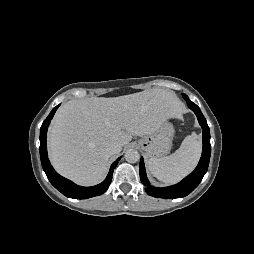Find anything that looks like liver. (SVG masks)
<instances>
[{
    "label": "liver",
    "mask_w": 254,
    "mask_h": 254,
    "mask_svg": "<svg viewBox=\"0 0 254 254\" xmlns=\"http://www.w3.org/2000/svg\"><path fill=\"white\" fill-rule=\"evenodd\" d=\"M182 104L172 91L153 88L119 97L70 100L49 128V156L61 175L83 186L100 183L108 170L106 149L126 146L132 136L150 135Z\"/></svg>",
    "instance_id": "obj_1"
}]
</instances>
